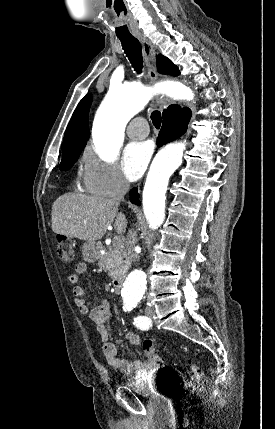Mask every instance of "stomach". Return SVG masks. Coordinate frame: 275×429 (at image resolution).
<instances>
[{"label": "stomach", "instance_id": "obj_1", "mask_svg": "<svg viewBox=\"0 0 275 429\" xmlns=\"http://www.w3.org/2000/svg\"><path fill=\"white\" fill-rule=\"evenodd\" d=\"M85 261L95 262L100 256V244L95 241H87L82 246Z\"/></svg>", "mask_w": 275, "mask_h": 429}]
</instances>
